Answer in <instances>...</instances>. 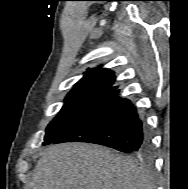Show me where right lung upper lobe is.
<instances>
[{"instance_id":"1","label":"right lung upper lobe","mask_w":188,"mask_h":189,"mask_svg":"<svg viewBox=\"0 0 188 189\" xmlns=\"http://www.w3.org/2000/svg\"><path fill=\"white\" fill-rule=\"evenodd\" d=\"M114 82L113 71L98 67L85 72L84 77L75 84L70 93L105 92L109 94L117 89V86H113Z\"/></svg>"}]
</instances>
